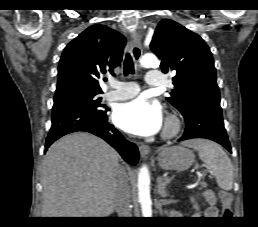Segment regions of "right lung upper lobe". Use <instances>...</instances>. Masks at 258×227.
Instances as JSON below:
<instances>
[{
  "mask_svg": "<svg viewBox=\"0 0 258 227\" xmlns=\"http://www.w3.org/2000/svg\"><path fill=\"white\" fill-rule=\"evenodd\" d=\"M126 39L119 32L96 24L83 31L64 49L59 61L56 93L81 89L102 93L100 74L122 60Z\"/></svg>",
  "mask_w": 258,
  "mask_h": 227,
  "instance_id": "cb5924a9",
  "label": "right lung upper lobe"
}]
</instances>
